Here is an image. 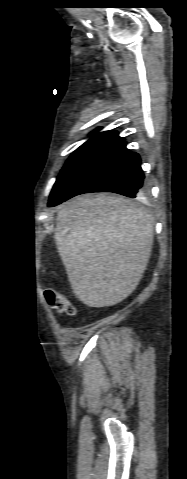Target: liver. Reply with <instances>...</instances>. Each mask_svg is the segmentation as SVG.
<instances>
[{
  "label": "liver",
  "instance_id": "liver-1",
  "mask_svg": "<svg viewBox=\"0 0 187 479\" xmlns=\"http://www.w3.org/2000/svg\"><path fill=\"white\" fill-rule=\"evenodd\" d=\"M152 217L113 194L78 196L56 217L54 240L75 296L113 306L139 284L153 245Z\"/></svg>",
  "mask_w": 187,
  "mask_h": 479
}]
</instances>
